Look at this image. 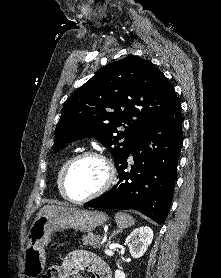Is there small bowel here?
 <instances>
[{"instance_id":"c3829d8e","label":"small bowel","mask_w":221,"mask_h":278,"mask_svg":"<svg viewBox=\"0 0 221 278\" xmlns=\"http://www.w3.org/2000/svg\"><path fill=\"white\" fill-rule=\"evenodd\" d=\"M87 269L91 278H111L108 267L91 252L73 250L66 255L59 266V275L56 278H81V272ZM44 278H51L47 273Z\"/></svg>"}]
</instances>
